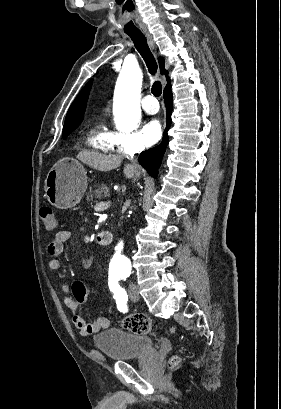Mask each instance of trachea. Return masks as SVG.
I'll return each instance as SVG.
<instances>
[{
    "label": "trachea",
    "mask_w": 281,
    "mask_h": 409,
    "mask_svg": "<svg viewBox=\"0 0 281 409\" xmlns=\"http://www.w3.org/2000/svg\"><path fill=\"white\" fill-rule=\"evenodd\" d=\"M131 40L133 41L137 51L140 53L141 57L144 59L145 64L149 70V73L154 76L157 72V63L151 52L146 37L142 32H131L127 33ZM152 93L155 97H159L162 93V85L160 81H155L152 85Z\"/></svg>",
    "instance_id": "trachea-1"
}]
</instances>
